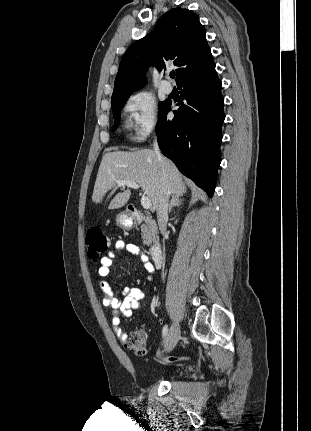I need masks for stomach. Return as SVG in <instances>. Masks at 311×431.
<instances>
[{
  "instance_id": "0dacf381",
  "label": "stomach",
  "mask_w": 311,
  "mask_h": 431,
  "mask_svg": "<svg viewBox=\"0 0 311 431\" xmlns=\"http://www.w3.org/2000/svg\"><path fill=\"white\" fill-rule=\"evenodd\" d=\"M116 223L121 229H133L136 225L135 217L130 216L127 212H120V214H117Z\"/></svg>"
}]
</instances>
